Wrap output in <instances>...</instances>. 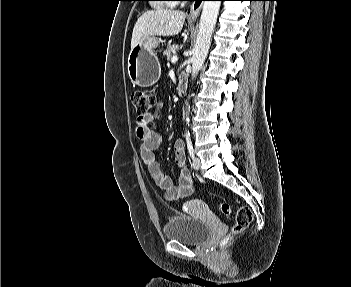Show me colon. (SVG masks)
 I'll use <instances>...</instances> for the list:
<instances>
[{
    "instance_id": "obj_1",
    "label": "colon",
    "mask_w": 351,
    "mask_h": 287,
    "mask_svg": "<svg viewBox=\"0 0 351 287\" xmlns=\"http://www.w3.org/2000/svg\"><path fill=\"white\" fill-rule=\"evenodd\" d=\"M132 103L135 107L138 118H145L150 111L156 107V97L152 92L145 90H136L131 96ZM220 211L224 216H230L231 207L227 203L220 206ZM253 219L252 209L248 206L240 207L235 215V221L229 235L223 238L222 244H226L231 235H235L249 226Z\"/></svg>"
}]
</instances>
